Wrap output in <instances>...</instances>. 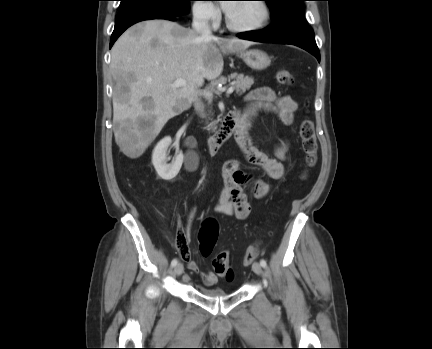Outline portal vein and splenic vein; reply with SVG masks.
<instances>
[{
	"instance_id": "1",
	"label": "portal vein and splenic vein",
	"mask_w": 432,
	"mask_h": 349,
	"mask_svg": "<svg viewBox=\"0 0 432 349\" xmlns=\"http://www.w3.org/2000/svg\"><path fill=\"white\" fill-rule=\"evenodd\" d=\"M184 85H186V81H185L184 79H182V78H178V79H176V80L173 82V84L171 85V87H172V88H178V87H182V86H184ZM233 91H234V86H230V87L227 89L226 93L229 95V94H232ZM204 95H205L206 97H211V96H212V94H211L210 92H204Z\"/></svg>"
}]
</instances>
